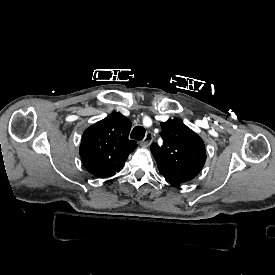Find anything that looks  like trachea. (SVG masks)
Returning <instances> with one entry per match:
<instances>
[{
	"label": "trachea",
	"instance_id": "1",
	"mask_svg": "<svg viewBox=\"0 0 275 275\" xmlns=\"http://www.w3.org/2000/svg\"><path fill=\"white\" fill-rule=\"evenodd\" d=\"M145 136V128L142 127V126H136L132 132H131V135L130 137L132 139H135V140H138V141H141Z\"/></svg>",
	"mask_w": 275,
	"mask_h": 275
}]
</instances>
